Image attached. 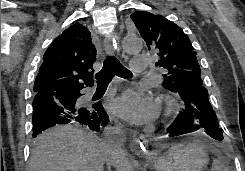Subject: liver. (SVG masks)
I'll use <instances>...</instances> for the list:
<instances>
[{
  "mask_svg": "<svg viewBox=\"0 0 245 171\" xmlns=\"http://www.w3.org/2000/svg\"><path fill=\"white\" fill-rule=\"evenodd\" d=\"M108 143L91 132L71 125L56 126L42 134L32 152L29 171H103L112 164L117 171H133L124 159H113Z\"/></svg>",
  "mask_w": 245,
  "mask_h": 171,
  "instance_id": "liver-1",
  "label": "liver"
}]
</instances>
